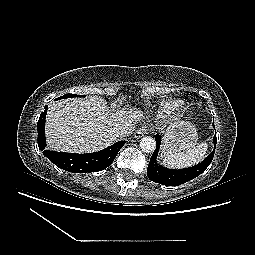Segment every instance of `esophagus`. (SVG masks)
Segmentation results:
<instances>
[{
    "label": "esophagus",
    "mask_w": 255,
    "mask_h": 255,
    "mask_svg": "<svg viewBox=\"0 0 255 255\" xmlns=\"http://www.w3.org/2000/svg\"><path fill=\"white\" fill-rule=\"evenodd\" d=\"M147 133H148V128L146 126H142L136 130V132L134 133V137L138 139L143 137Z\"/></svg>",
    "instance_id": "obj_1"
}]
</instances>
